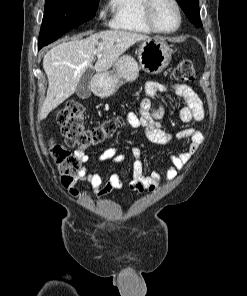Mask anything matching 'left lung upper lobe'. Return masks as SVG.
<instances>
[{"mask_svg": "<svg viewBox=\"0 0 247 296\" xmlns=\"http://www.w3.org/2000/svg\"><path fill=\"white\" fill-rule=\"evenodd\" d=\"M188 19L197 27L202 23L199 14V0H177Z\"/></svg>", "mask_w": 247, "mask_h": 296, "instance_id": "left-lung-upper-lobe-1", "label": "left lung upper lobe"}]
</instances>
